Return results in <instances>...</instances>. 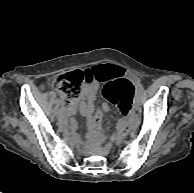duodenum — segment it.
Instances as JSON below:
<instances>
[{
    "label": "duodenum",
    "mask_w": 194,
    "mask_h": 193,
    "mask_svg": "<svg viewBox=\"0 0 194 193\" xmlns=\"http://www.w3.org/2000/svg\"><path fill=\"white\" fill-rule=\"evenodd\" d=\"M98 140V137L97 136H94L93 138H92V141H97Z\"/></svg>",
    "instance_id": "duodenum-1"
}]
</instances>
